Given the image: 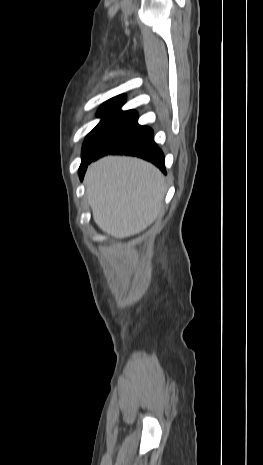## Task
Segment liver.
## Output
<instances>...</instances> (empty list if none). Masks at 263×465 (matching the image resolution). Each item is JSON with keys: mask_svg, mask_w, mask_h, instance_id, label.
<instances>
[{"mask_svg": "<svg viewBox=\"0 0 263 465\" xmlns=\"http://www.w3.org/2000/svg\"><path fill=\"white\" fill-rule=\"evenodd\" d=\"M85 185L95 223L117 239L150 226L162 211L166 193L159 169L126 156H107L91 164Z\"/></svg>", "mask_w": 263, "mask_h": 465, "instance_id": "liver-1", "label": "liver"}]
</instances>
